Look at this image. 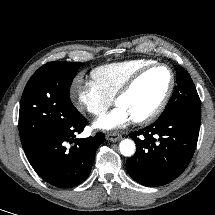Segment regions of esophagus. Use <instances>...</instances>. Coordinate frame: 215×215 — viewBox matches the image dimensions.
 <instances>
[{"instance_id": "esophagus-1", "label": "esophagus", "mask_w": 215, "mask_h": 215, "mask_svg": "<svg viewBox=\"0 0 215 215\" xmlns=\"http://www.w3.org/2000/svg\"><path fill=\"white\" fill-rule=\"evenodd\" d=\"M122 138V136L118 133H109V134H106V139L109 140V141H118Z\"/></svg>"}]
</instances>
